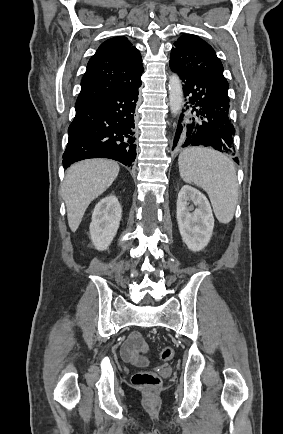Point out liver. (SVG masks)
Returning a JSON list of instances; mask_svg holds the SVG:
<instances>
[{"label":"liver","mask_w":283,"mask_h":434,"mask_svg":"<svg viewBox=\"0 0 283 434\" xmlns=\"http://www.w3.org/2000/svg\"><path fill=\"white\" fill-rule=\"evenodd\" d=\"M119 165L106 159H88L72 165L61 188L68 224L75 232L89 204L105 192L116 179Z\"/></svg>","instance_id":"obj_1"}]
</instances>
